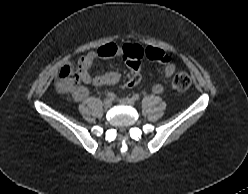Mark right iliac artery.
<instances>
[{
	"label": "right iliac artery",
	"instance_id": "obj_1",
	"mask_svg": "<svg viewBox=\"0 0 248 194\" xmlns=\"http://www.w3.org/2000/svg\"><path fill=\"white\" fill-rule=\"evenodd\" d=\"M107 97H108L110 100H114V99L116 98L115 94L112 93V92H109V93L107 94Z\"/></svg>",
	"mask_w": 248,
	"mask_h": 194
}]
</instances>
